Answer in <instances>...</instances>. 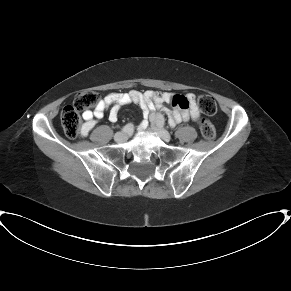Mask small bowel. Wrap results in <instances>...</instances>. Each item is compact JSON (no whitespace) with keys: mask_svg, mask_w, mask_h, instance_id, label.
<instances>
[{"mask_svg":"<svg viewBox=\"0 0 291 291\" xmlns=\"http://www.w3.org/2000/svg\"><path fill=\"white\" fill-rule=\"evenodd\" d=\"M169 102H172L174 106L170 113V120L173 124L189 119L196 121L199 118L200 111L193 94L173 95L166 91H146L142 93L137 90H130L126 93L114 92L106 95L94 110H87L83 113L84 122L81 127V136H87L108 109L109 120L116 122L122 105L136 103L146 114L153 109L167 112L163 104ZM142 126L145 127L146 123L143 122Z\"/></svg>","mask_w":291,"mask_h":291,"instance_id":"obj_1","label":"small bowel"}]
</instances>
